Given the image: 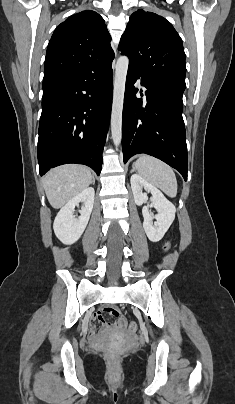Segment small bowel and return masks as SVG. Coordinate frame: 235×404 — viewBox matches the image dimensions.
<instances>
[{
	"label": "small bowel",
	"instance_id": "1",
	"mask_svg": "<svg viewBox=\"0 0 235 404\" xmlns=\"http://www.w3.org/2000/svg\"><path fill=\"white\" fill-rule=\"evenodd\" d=\"M104 313H105V308H102V309L98 310L95 314H93L92 320H93V319H100V320H101V319L103 318V314H104ZM94 332H95V328H94L93 324H91V325L89 326V333H90L91 335H93Z\"/></svg>",
	"mask_w": 235,
	"mask_h": 404
}]
</instances>
